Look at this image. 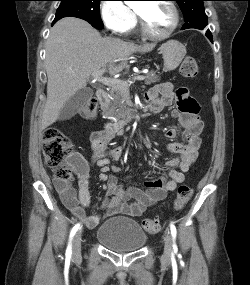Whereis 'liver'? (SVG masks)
Here are the masks:
<instances>
[{"mask_svg": "<svg viewBox=\"0 0 250 285\" xmlns=\"http://www.w3.org/2000/svg\"><path fill=\"white\" fill-rule=\"evenodd\" d=\"M154 47V44L139 46L117 38H103L89 23L78 18L58 21L46 45L47 101L41 130L57 120L65 103L86 87L94 72L107 67L109 74H117L127 66L130 55L149 52Z\"/></svg>", "mask_w": 250, "mask_h": 285, "instance_id": "obj_1", "label": "liver"}]
</instances>
